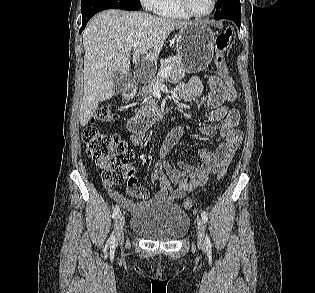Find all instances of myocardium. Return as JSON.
Returning a JSON list of instances; mask_svg holds the SVG:
<instances>
[{"mask_svg":"<svg viewBox=\"0 0 315 293\" xmlns=\"http://www.w3.org/2000/svg\"><path fill=\"white\" fill-rule=\"evenodd\" d=\"M182 8L191 16V17H196V18H205L208 17L213 13V11L216 8L217 5V0H212V6L210 10L204 14H198L194 12L190 6V1L189 0H180Z\"/></svg>","mask_w":315,"mask_h":293,"instance_id":"myocardium-1","label":"myocardium"}]
</instances>
